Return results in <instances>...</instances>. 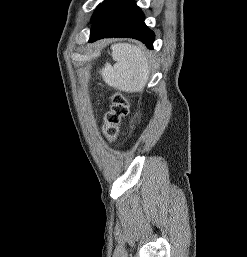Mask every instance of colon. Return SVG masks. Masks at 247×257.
I'll return each instance as SVG.
<instances>
[{"instance_id": "colon-1", "label": "colon", "mask_w": 247, "mask_h": 257, "mask_svg": "<svg viewBox=\"0 0 247 257\" xmlns=\"http://www.w3.org/2000/svg\"><path fill=\"white\" fill-rule=\"evenodd\" d=\"M129 113V100L122 92H115L111 96V105L104 118L102 131L109 142H114L120 131L121 121Z\"/></svg>"}]
</instances>
